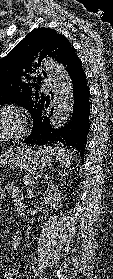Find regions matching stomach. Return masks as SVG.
<instances>
[{
  "label": "stomach",
  "mask_w": 113,
  "mask_h": 279,
  "mask_svg": "<svg viewBox=\"0 0 113 279\" xmlns=\"http://www.w3.org/2000/svg\"><path fill=\"white\" fill-rule=\"evenodd\" d=\"M53 160V154L42 146H11L0 155V167L25 171L41 169Z\"/></svg>",
  "instance_id": "0dacf381"
}]
</instances>
